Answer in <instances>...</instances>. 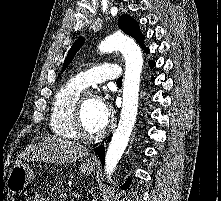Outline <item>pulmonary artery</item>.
Here are the masks:
<instances>
[{
  "label": "pulmonary artery",
  "instance_id": "1",
  "mask_svg": "<svg viewBox=\"0 0 221 201\" xmlns=\"http://www.w3.org/2000/svg\"><path fill=\"white\" fill-rule=\"evenodd\" d=\"M121 77V69L117 64L105 63L79 73L73 81L81 87H88L107 80H118Z\"/></svg>",
  "mask_w": 221,
  "mask_h": 201
}]
</instances>
